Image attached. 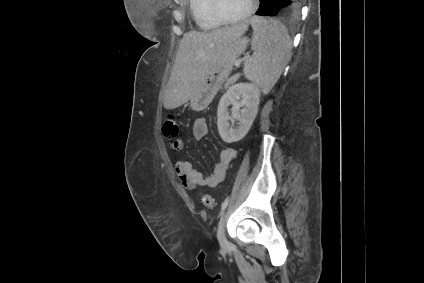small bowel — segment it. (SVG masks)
Instances as JSON below:
<instances>
[{
	"label": "small bowel",
	"instance_id": "c3829d8e",
	"mask_svg": "<svg viewBox=\"0 0 424 283\" xmlns=\"http://www.w3.org/2000/svg\"><path fill=\"white\" fill-rule=\"evenodd\" d=\"M192 133L195 139H202L208 134V124L204 118H198L192 125ZM237 152L231 147L221 150L219 161L215 164L211 174L203 175L195 169L191 162L180 160L175 164V173L182 185L188 190H195L197 187H215L221 183L226 176L227 170L236 158Z\"/></svg>",
	"mask_w": 424,
	"mask_h": 283
}]
</instances>
